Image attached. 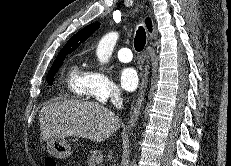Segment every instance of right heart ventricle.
Instances as JSON below:
<instances>
[{"mask_svg": "<svg viewBox=\"0 0 231 166\" xmlns=\"http://www.w3.org/2000/svg\"><path fill=\"white\" fill-rule=\"evenodd\" d=\"M88 72L78 63L71 66L67 75L70 92L77 98L84 99L87 94Z\"/></svg>", "mask_w": 231, "mask_h": 166, "instance_id": "right-heart-ventricle-1", "label": "right heart ventricle"}]
</instances>
